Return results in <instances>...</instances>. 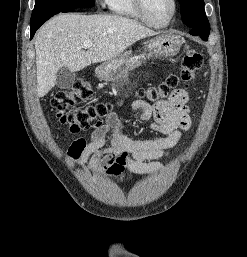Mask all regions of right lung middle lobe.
Masks as SVG:
<instances>
[{
  "label": "right lung middle lobe",
  "mask_w": 247,
  "mask_h": 257,
  "mask_svg": "<svg viewBox=\"0 0 247 257\" xmlns=\"http://www.w3.org/2000/svg\"><path fill=\"white\" fill-rule=\"evenodd\" d=\"M93 6L94 0H35L31 21L54 12Z\"/></svg>",
  "instance_id": "1"
}]
</instances>
